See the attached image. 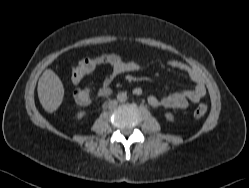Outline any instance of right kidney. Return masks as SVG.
<instances>
[{
	"label": "right kidney",
	"instance_id": "right-kidney-1",
	"mask_svg": "<svg viewBox=\"0 0 249 188\" xmlns=\"http://www.w3.org/2000/svg\"><path fill=\"white\" fill-rule=\"evenodd\" d=\"M85 116V111H80L77 113L76 118L78 120L82 119Z\"/></svg>",
	"mask_w": 249,
	"mask_h": 188
}]
</instances>
